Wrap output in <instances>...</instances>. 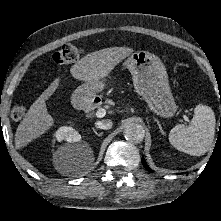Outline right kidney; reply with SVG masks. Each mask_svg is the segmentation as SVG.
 Returning <instances> with one entry per match:
<instances>
[{"label": "right kidney", "mask_w": 221, "mask_h": 221, "mask_svg": "<svg viewBox=\"0 0 221 221\" xmlns=\"http://www.w3.org/2000/svg\"><path fill=\"white\" fill-rule=\"evenodd\" d=\"M55 137L58 141L67 142H79L81 140V135L72 127L63 126L60 127L56 133Z\"/></svg>", "instance_id": "obj_1"}]
</instances>
